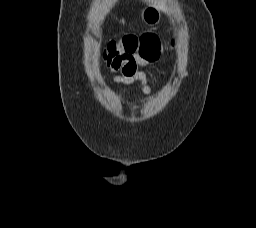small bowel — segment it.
Returning <instances> with one entry per match:
<instances>
[{"mask_svg": "<svg viewBox=\"0 0 256 228\" xmlns=\"http://www.w3.org/2000/svg\"><path fill=\"white\" fill-rule=\"evenodd\" d=\"M157 59H149L139 53L124 54L115 60L109 69L113 72L119 71L120 74L115 75L113 80L122 84L140 83L144 95L151 93V87L148 83V78L139 67H145L156 61Z\"/></svg>", "mask_w": 256, "mask_h": 228, "instance_id": "obj_1", "label": "small bowel"}]
</instances>
